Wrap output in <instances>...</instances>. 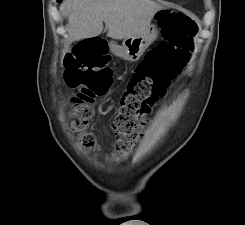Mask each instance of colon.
Wrapping results in <instances>:
<instances>
[{
	"label": "colon",
	"instance_id": "5ec220e1",
	"mask_svg": "<svg viewBox=\"0 0 245 225\" xmlns=\"http://www.w3.org/2000/svg\"><path fill=\"white\" fill-rule=\"evenodd\" d=\"M158 21L163 40L132 70L113 122L118 159L132 151L148 125L151 110L190 60L196 23L173 10L161 11ZM109 63L110 55L103 40L82 38L61 65L64 82L77 90L72 98L74 107L70 126L79 134L80 144L87 150L94 143L93 136L85 131L94 114L92 105L96 98L108 93L112 83L113 71Z\"/></svg>",
	"mask_w": 245,
	"mask_h": 225
}]
</instances>
